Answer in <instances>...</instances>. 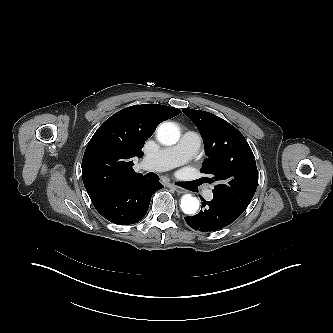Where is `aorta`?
<instances>
[{"label": "aorta", "mask_w": 333, "mask_h": 333, "mask_svg": "<svg viewBox=\"0 0 333 333\" xmlns=\"http://www.w3.org/2000/svg\"><path fill=\"white\" fill-rule=\"evenodd\" d=\"M158 140L163 145H174L178 142L180 131L173 122H163L157 129ZM180 207L185 214H195L199 209V200L191 194H185L180 201Z\"/></svg>", "instance_id": "obj_1"}]
</instances>
